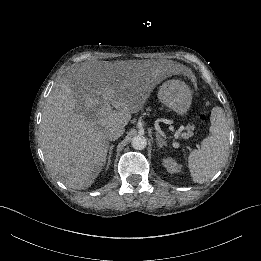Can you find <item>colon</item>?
<instances>
[{
	"label": "colon",
	"mask_w": 261,
	"mask_h": 261,
	"mask_svg": "<svg viewBox=\"0 0 261 261\" xmlns=\"http://www.w3.org/2000/svg\"><path fill=\"white\" fill-rule=\"evenodd\" d=\"M207 118H208L207 112H205L204 110H197L196 119L199 124H203L207 120Z\"/></svg>",
	"instance_id": "1"
}]
</instances>
